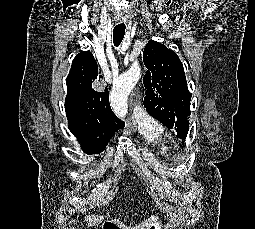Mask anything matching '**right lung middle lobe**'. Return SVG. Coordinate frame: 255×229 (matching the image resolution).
<instances>
[{
  "instance_id": "1",
  "label": "right lung middle lobe",
  "mask_w": 255,
  "mask_h": 229,
  "mask_svg": "<svg viewBox=\"0 0 255 229\" xmlns=\"http://www.w3.org/2000/svg\"><path fill=\"white\" fill-rule=\"evenodd\" d=\"M78 140L81 142V148L86 154H95L102 152L106 148V145L109 141V139L95 140L85 138H78Z\"/></svg>"
}]
</instances>
